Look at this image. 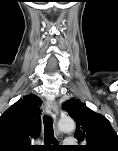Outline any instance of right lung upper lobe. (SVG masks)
I'll use <instances>...</instances> for the list:
<instances>
[{
	"mask_svg": "<svg viewBox=\"0 0 118 151\" xmlns=\"http://www.w3.org/2000/svg\"><path fill=\"white\" fill-rule=\"evenodd\" d=\"M42 100L29 94L0 116V151H31L30 140L41 131Z\"/></svg>",
	"mask_w": 118,
	"mask_h": 151,
	"instance_id": "obj_1",
	"label": "right lung upper lobe"
}]
</instances>
